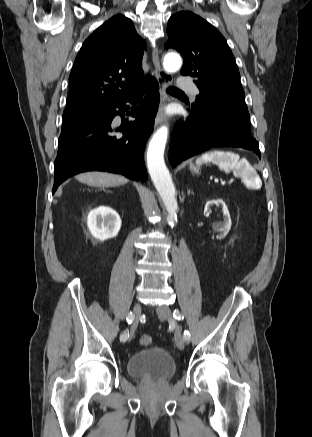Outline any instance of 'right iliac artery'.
<instances>
[{
    "mask_svg": "<svg viewBox=\"0 0 312 437\" xmlns=\"http://www.w3.org/2000/svg\"><path fill=\"white\" fill-rule=\"evenodd\" d=\"M134 320V315L132 313L128 314L126 321L128 322V324H131ZM129 337V334L127 331L123 332L120 335V341L125 342Z\"/></svg>",
    "mask_w": 312,
    "mask_h": 437,
    "instance_id": "82829eb1",
    "label": "right iliac artery"
}]
</instances>
